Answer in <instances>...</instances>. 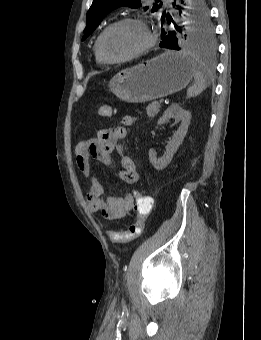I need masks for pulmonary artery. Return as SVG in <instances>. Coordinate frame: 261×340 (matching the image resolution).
I'll return each instance as SVG.
<instances>
[{"label":"pulmonary artery","instance_id":"e3ab8cb5","mask_svg":"<svg viewBox=\"0 0 261 340\" xmlns=\"http://www.w3.org/2000/svg\"><path fill=\"white\" fill-rule=\"evenodd\" d=\"M167 2H170L171 0H166Z\"/></svg>","mask_w":261,"mask_h":340}]
</instances>
